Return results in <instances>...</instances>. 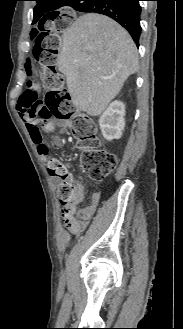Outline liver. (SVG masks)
<instances>
[{
    "label": "liver",
    "instance_id": "obj_1",
    "mask_svg": "<svg viewBox=\"0 0 183 329\" xmlns=\"http://www.w3.org/2000/svg\"><path fill=\"white\" fill-rule=\"evenodd\" d=\"M60 44L58 69L74 105L90 116H99L138 70L131 36L104 15L80 16L63 32Z\"/></svg>",
    "mask_w": 183,
    "mask_h": 329
}]
</instances>
